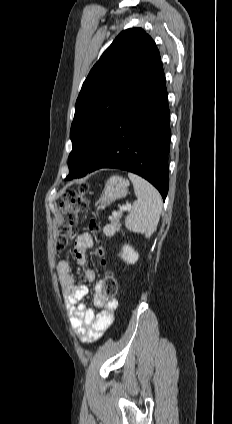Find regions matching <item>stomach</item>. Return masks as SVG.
<instances>
[{
	"mask_svg": "<svg viewBox=\"0 0 232 424\" xmlns=\"http://www.w3.org/2000/svg\"><path fill=\"white\" fill-rule=\"evenodd\" d=\"M127 193V181L120 176H112L108 179L104 191L97 202V208L105 209L112 202L125 197Z\"/></svg>",
	"mask_w": 232,
	"mask_h": 424,
	"instance_id": "obj_1",
	"label": "stomach"
}]
</instances>
